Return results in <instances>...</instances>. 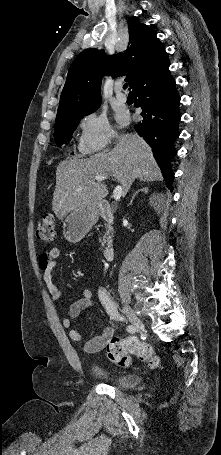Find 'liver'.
I'll list each match as a JSON object with an SVG mask.
<instances>
[{
    "instance_id": "1",
    "label": "liver",
    "mask_w": 221,
    "mask_h": 455,
    "mask_svg": "<svg viewBox=\"0 0 221 455\" xmlns=\"http://www.w3.org/2000/svg\"><path fill=\"white\" fill-rule=\"evenodd\" d=\"M103 174L115 176L122 185L123 195L135 179H162L148 144L136 133L123 134L106 154L60 162L52 200L57 218L62 220L81 205L101 202L107 196L108 189L102 181L96 182L94 176Z\"/></svg>"
}]
</instances>
